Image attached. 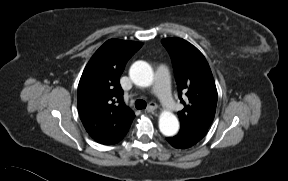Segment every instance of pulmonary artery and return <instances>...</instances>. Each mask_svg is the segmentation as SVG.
Returning <instances> with one entry per match:
<instances>
[{
    "label": "pulmonary artery",
    "mask_w": 288,
    "mask_h": 181,
    "mask_svg": "<svg viewBox=\"0 0 288 181\" xmlns=\"http://www.w3.org/2000/svg\"><path fill=\"white\" fill-rule=\"evenodd\" d=\"M153 92L158 96L164 108L169 110L176 108V103L170 91L168 68L165 65L160 66L156 72Z\"/></svg>",
    "instance_id": "pulmonary-artery-1"
}]
</instances>
